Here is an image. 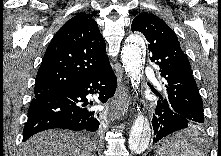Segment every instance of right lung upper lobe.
<instances>
[{
    "mask_svg": "<svg viewBox=\"0 0 221 156\" xmlns=\"http://www.w3.org/2000/svg\"><path fill=\"white\" fill-rule=\"evenodd\" d=\"M108 64L96 21L85 13L77 14L51 40L36 76L34 94L62 92Z\"/></svg>",
    "mask_w": 221,
    "mask_h": 156,
    "instance_id": "1",
    "label": "right lung upper lobe"
}]
</instances>
